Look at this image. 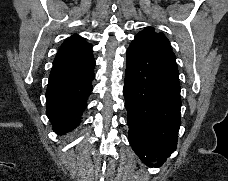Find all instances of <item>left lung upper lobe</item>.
<instances>
[{
	"label": "left lung upper lobe",
	"mask_w": 228,
	"mask_h": 181,
	"mask_svg": "<svg viewBox=\"0 0 228 181\" xmlns=\"http://www.w3.org/2000/svg\"><path fill=\"white\" fill-rule=\"evenodd\" d=\"M135 37L148 39L158 44L164 45L170 48L169 40L162 33H155L154 28L147 27L143 31L139 32Z\"/></svg>",
	"instance_id": "1"
}]
</instances>
